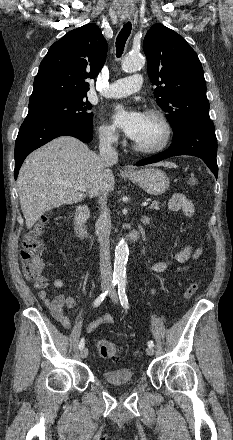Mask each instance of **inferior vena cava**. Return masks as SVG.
<instances>
[{
  "label": "inferior vena cava",
  "mask_w": 233,
  "mask_h": 440,
  "mask_svg": "<svg viewBox=\"0 0 233 440\" xmlns=\"http://www.w3.org/2000/svg\"><path fill=\"white\" fill-rule=\"evenodd\" d=\"M113 138L104 135L100 140L99 151L101 158L106 164L112 165L118 161V153L112 147ZM100 215L95 224V232L100 244V273L101 283L109 285L112 282V267L110 260V232L111 217L107 207V192H103L99 197Z\"/></svg>",
  "instance_id": "1"
}]
</instances>
